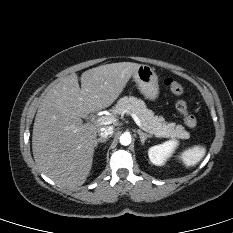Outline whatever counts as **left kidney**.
<instances>
[{
    "instance_id": "obj_1",
    "label": "left kidney",
    "mask_w": 233,
    "mask_h": 233,
    "mask_svg": "<svg viewBox=\"0 0 233 233\" xmlns=\"http://www.w3.org/2000/svg\"><path fill=\"white\" fill-rule=\"evenodd\" d=\"M177 145L176 141L170 140L161 145L151 147L148 151L150 161L158 166L164 165L167 157Z\"/></svg>"
}]
</instances>
